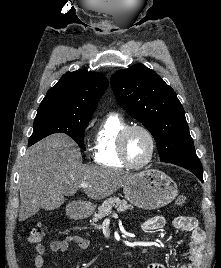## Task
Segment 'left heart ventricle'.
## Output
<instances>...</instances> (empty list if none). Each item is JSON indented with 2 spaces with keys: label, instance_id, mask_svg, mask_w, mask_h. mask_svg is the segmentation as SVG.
Instances as JSON below:
<instances>
[{
  "label": "left heart ventricle",
  "instance_id": "left-heart-ventricle-1",
  "mask_svg": "<svg viewBox=\"0 0 221 268\" xmlns=\"http://www.w3.org/2000/svg\"><path fill=\"white\" fill-rule=\"evenodd\" d=\"M126 150L132 163L144 162L150 153V141L147 135L139 130L132 131L127 137Z\"/></svg>",
  "mask_w": 221,
  "mask_h": 268
}]
</instances>
